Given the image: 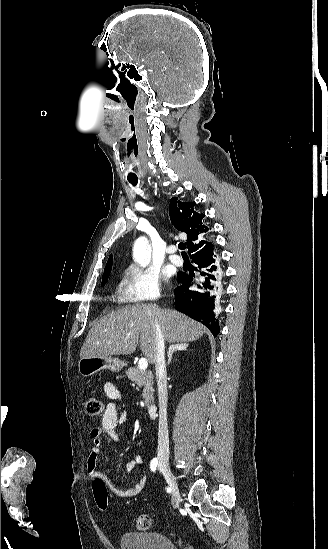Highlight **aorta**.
Here are the masks:
<instances>
[{"label": "aorta", "mask_w": 328, "mask_h": 549, "mask_svg": "<svg viewBox=\"0 0 328 549\" xmlns=\"http://www.w3.org/2000/svg\"><path fill=\"white\" fill-rule=\"evenodd\" d=\"M134 258L141 264L145 265L147 260V241L144 238H139L134 245Z\"/></svg>", "instance_id": "obj_1"}]
</instances>
